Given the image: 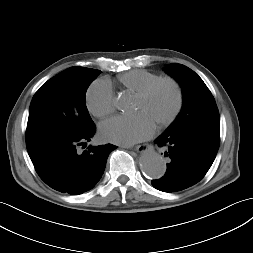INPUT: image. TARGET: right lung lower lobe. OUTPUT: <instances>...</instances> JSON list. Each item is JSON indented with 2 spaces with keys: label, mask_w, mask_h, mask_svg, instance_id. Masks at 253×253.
I'll return each instance as SVG.
<instances>
[{
  "label": "right lung lower lobe",
  "mask_w": 253,
  "mask_h": 253,
  "mask_svg": "<svg viewBox=\"0 0 253 253\" xmlns=\"http://www.w3.org/2000/svg\"><path fill=\"white\" fill-rule=\"evenodd\" d=\"M96 127L70 140L60 141L30 156L36 172L51 188L72 195L92 189L100 180L112 144L89 146L81 152L80 146L95 134Z\"/></svg>",
  "instance_id": "98d812e1"
}]
</instances>
